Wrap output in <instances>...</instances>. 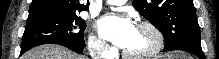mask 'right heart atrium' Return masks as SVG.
Here are the masks:
<instances>
[{"label": "right heart atrium", "instance_id": "1", "mask_svg": "<svg viewBox=\"0 0 219 59\" xmlns=\"http://www.w3.org/2000/svg\"><path fill=\"white\" fill-rule=\"evenodd\" d=\"M88 49L93 57L100 59L107 58L111 53L109 45L95 34L90 35L88 38Z\"/></svg>", "mask_w": 219, "mask_h": 59}]
</instances>
